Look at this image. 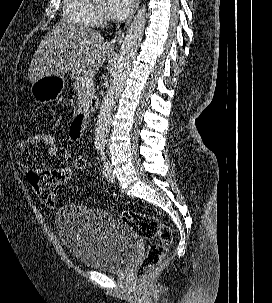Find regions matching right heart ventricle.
<instances>
[{
	"instance_id": "1",
	"label": "right heart ventricle",
	"mask_w": 272,
	"mask_h": 303,
	"mask_svg": "<svg viewBox=\"0 0 272 303\" xmlns=\"http://www.w3.org/2000/svg\"><path fill=\"white\" fill-rule=\"evenodd\" d=\"M91 0H63L62 19L65 23L87 27L92 25Z\"/></svg>"
}]
</instances>
